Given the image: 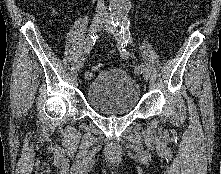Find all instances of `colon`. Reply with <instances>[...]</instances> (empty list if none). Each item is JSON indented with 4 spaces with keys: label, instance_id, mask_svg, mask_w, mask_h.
<instances>
[{
    "label": "colon",
    "instance_id": "1",
    "mask_svg": "<svg viewBox=\"0 0 221 174\" xmlns=\"http://www.w3.org/2000/svg\"><path fill=\"white\" fill-rule=\"evenodd\" d=\"M102 67H103V64H102V63H97V64H95V65L92 67V69H93L94 71H99V70L102 69Z\"/></svg>",
    "mask_w": 221,
    "mask_h": 174
}]
</instances>
